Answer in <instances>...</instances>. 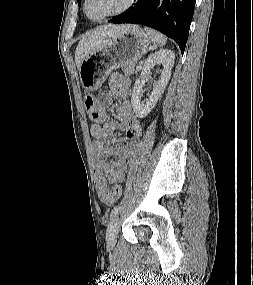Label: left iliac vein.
<instances>
[{
    "label": "left iliac vein",
    "instance_id": "left-iliac-vein-1",
    "mask_svg": "<svg viewBox=\"0 0 253 285\" xmlns=\"http://www.w3.org/2000/svg\"><path fill=\"white\" fill-rule=\"evenodd\" d=\"M120 228L119 217H115L110 222L106 232V243L108 247H114L117 242L118 231Z\"/></svg>",
    "mask_w": 253,
    "mask_h": 285
}]
</instances>
